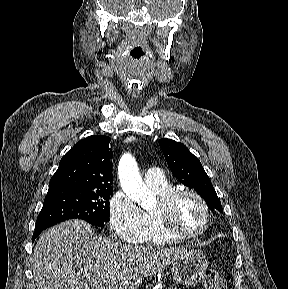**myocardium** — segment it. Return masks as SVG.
Segmentation results:
<instances>
[{"instance_id":"obj_1","label":"myocardium","mask_w":288,"mask_h":289,"mask_svg":"<svg viewBox=\"0 0 288 289\" xmlns=\"http://www.w3.org/2000/svg\"><path fill=\"white\" fill-rule=\"evenodd\" d=\"M193 197L201 205L204 212V224L203 226L192 233H185L180 231L174 221L173 211L175 204L182 197ZM157 220L161 229L171 237L178 240H191L202 236L210 227L211 224V213L209 206L205 199L196 191L190 189H176L165 194L159 198V203L155 208Z\"/></svg>"}]
</instances>
